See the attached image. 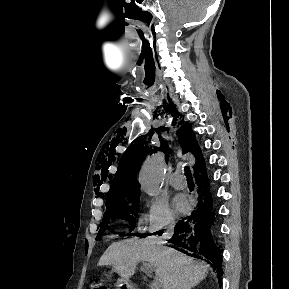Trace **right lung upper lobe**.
<instances>
[{
  "instance_id": "1",
  "label": "right lung upper lobe",
  "mask_w": 289,
  "mask_h": 289,
  "mask_svg": "<svg viewBox=\"0 0 289 289\" xmlns=\"http://www.w3.org/2000/svg\"><path fill=\"white\" fill-rule=\"evenodd\" d=\"M178 137L183 152L191 151L196 158L194 165L195 177L202 175L206 172L205 162L198 143L195 140V134L187 122L185 124L182 121V127L178 131ZM150 150L151 149L148 147L147 142H139L138 144L131 145L125 151L119 162L118 170L113 180L114 183L108 192L106 205L131 198L138 194L140 195L136 174L139 170L142 159Z\"/></svg>"
}]
</instances>
